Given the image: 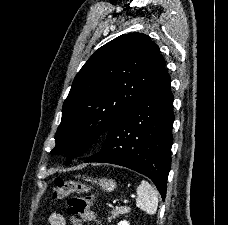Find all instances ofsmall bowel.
Masks as SVG:
<instances>
[{
	"instance_id": "obj_1",
	"label": "small bowel",
	"mask_w": 228,
	"mask_h": 225,
	"mask_svg": "<svg viewBox=\"0 0 228 225\" xmlns=\"http://www.w3.org/2000/svg\"><path fill=\"white\" fill-rule=\"evenodd\" d=\"M48 223L49 225H67L64 216L57 212H53L49 215ZM70 225H81V222L75 217H70Z\"/></svg>"
}]
</instances>
